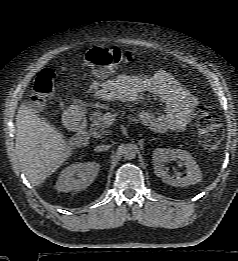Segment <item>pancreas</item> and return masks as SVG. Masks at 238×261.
Returning <instances> with one entry per match:
<instances>
[{
  "label": "pancreas",
  "instance_id": "obj_1",
  "mask_svg": "<svg viewBox=\"0 0 238 261\" xmlns=\"http://www.w3.org/2000/svg\"><path fill=\"white\" fill-rule=\"evenodd\" d=\"M104 114L100 110H96L92 113L91 125L89 132L95 138H101L108 133V125L104 122Z\"/></svg>",
  "mask_w": 238,
  "mask_h": 261
}]
</instances>
